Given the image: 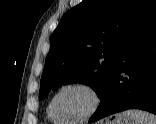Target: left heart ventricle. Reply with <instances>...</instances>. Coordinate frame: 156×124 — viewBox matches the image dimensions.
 <instances>
[{
	"label": "left heart ventricle",
	"instance_id": "left-heart-ventricle-1",
	"mask_svg": "<svg viewBox=\"0 0 156 124\" xmlns=\"http://www.w3.org/2000/svg\"><path fill=\"white\" fill-rule=\"evenodd\" d=\"M92 103V96L86 90L71 88L58 96L54 111L60 119L74 120L84 116L90 110Z\"/></svg>",
	"mask_w": 156,
	"mask_h": 124
}]
</instances>
